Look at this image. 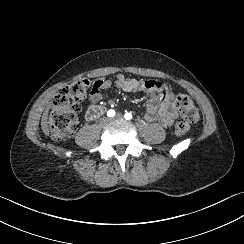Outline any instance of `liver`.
I'll list each match as a JSON object with an SVG mask.
<instances>
[{
	"instance_id": "1",
	"label": "liver",
	"mask_w": 244,
	"mask_h": 244,
	"mask_svg": "<svg viewBox=\"0 0 244 244\" xmlns=\"http://www.w3.org/2000/svg\"><path fill=\"white\" fill-rule=\"evenodd\" d=\"M48 111H49V107L46 108L41 119V127L45 135H49L48 121H47Z\"/></svg>"
}]
</instances>
